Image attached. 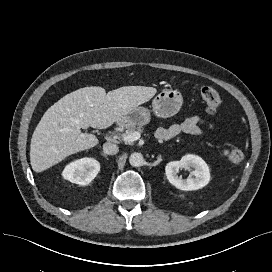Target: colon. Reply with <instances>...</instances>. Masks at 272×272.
Wrapping results in <instances>:
<instances>
[{"mask_svg":"<svg viewBox=\"0 0 272 272\" xmlns=\"http://www.w3.org/2000/svg\"><path fill=\"white\" fill-rule=\"evenodd\" d=\"M200 94L209 114H215L221 109L222 100L216 89L211 86H203ZM223 154L229 162L235 164L241 163L245 159L244 152L239 149H225Z\"/></svg>","mask_w":272,"mask_h":272,"instance_id":"1","label":"colon"}]
</instances>
